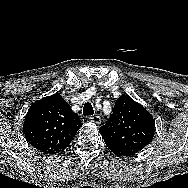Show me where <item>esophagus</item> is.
<instances>
[{
	"label": "esophagus",
	"instance_id": "34e87169",
	"mask_svg": "<svg viewBox=\"0 0 188 188\" xmlns=\"http://www.w3.org/2000/svg\"><path fill=\"white\" fill-rule=\"evenodd\" d=\"M88 120H89L90 122L95 123V124H100V123H101V118H100V116H98V115L91 116V117L88 118Z\"/></svg>",
	"mask_w": 188,
	"mask_h": 188
}]
</instances>
